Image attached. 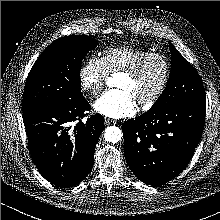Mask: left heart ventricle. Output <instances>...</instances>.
<instances>
[{
	"label": "left heart ventricle",
	"mask_w": 220,
	"mask_h": 220,
	"mask_svg": "<svg viewBox=\"0 0 220 220\" xmlns=\"http://www.w3.org/2000/svg\"><path fill=\"white\" fill-rule=\"evenodd\" d=\"M163 65L159 60H151L144 69L134 78L120 75L117 87L129 90L135 100L149 97L159 86L163 77Z\"/></svg>",
	"instance_id": "left-heart-ventricle-1"
}]
</instances>
